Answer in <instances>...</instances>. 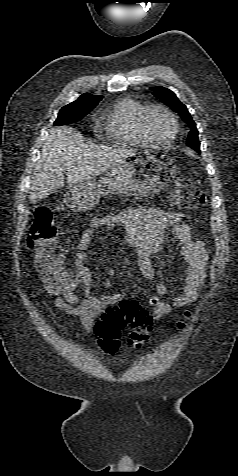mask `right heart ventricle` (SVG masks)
<instances>
[{
  "label": "right heart ventricle",
  "mask_w": 238,
  "mask_h": 476,
  "mask_svg": "<svg viewBox=\"0 0 238 476\" xmlns=\"http://www.w3.org/2000/svg\"><path fill=\"white\" fill-rule=\"evenodd\" d=\"M145 104L123 97L114 102L106 118L105 129L109 138L118 144L145 146L149 141L139 127V116Z\"/></svg>",
  "instance_id": "right-heart-ventricle-1"
}]
</instances>
